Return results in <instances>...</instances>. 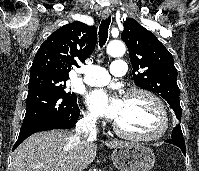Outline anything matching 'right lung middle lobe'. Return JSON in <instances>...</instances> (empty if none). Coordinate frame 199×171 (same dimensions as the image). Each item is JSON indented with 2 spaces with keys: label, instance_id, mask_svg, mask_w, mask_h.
<instances>
[{
  "label": "right lung middle lobe",
  "instance_id": "right-lung-middle-lobe-1",
  "mask_svg": "<svg viewBox=\"0 0 199 171\" xmlns=\"http://www.w3.org/2000/svg\"><path fill=\"white\" fill-rule=\"evenodd\" d=\"M68 79L69 78L59 77L49 74H39V75L30 76L29 89L37 86H48L57 90L59 93L63 94L64 97L76 101L77 100L76 94L67 91L66 81Z\"/></svg>",
  "mask_w": 199,
  "mask_h": 171
}]
</instances>
